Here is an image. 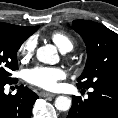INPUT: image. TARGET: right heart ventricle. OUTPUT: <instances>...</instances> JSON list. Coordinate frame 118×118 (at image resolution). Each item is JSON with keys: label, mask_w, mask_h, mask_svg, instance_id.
Instances as JSON below:
<instances>
[{"label": "right heart ventricle", "mask_w": 118, "mask_h": 118, "mask_svg": "<svg viewBox=\"0 0 118 118\" xmlns=\"http://www.w3.org/2000/svg\"><path fill=\"white\" fill-rule=\"evenodd\" d=\"M50 39L62 52L71 51L74 47L73 39L63 31H54L50 34Z\"/></svg>", "instance_id": "right-heart-ventricle-1"}]
</instances>
